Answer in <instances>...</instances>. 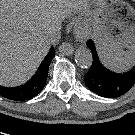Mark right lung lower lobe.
I'll return each instance as SVG.
<instances>
[{
    "mask_svg": "<svg viewBox=\"0 0 135 135\" xmlns=\"http://www.w3.org/2000/svg\"><path fill=\"white\" fill-rule=\"evenodd\" d=\"M54 56L55 51L54 48L51 47L50 52L43 60L32 79L18 87L10 88L0 86V95L14 101H26L39 94L46 84L49 65Z\"/></svg>",
    "mask_w": 135,
    "mask_h": 135,
    "instance_id": "1",
    "label": "right lung lower lobe"
}]
</instances>
